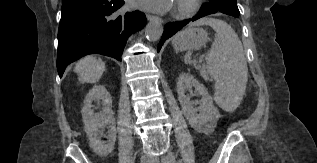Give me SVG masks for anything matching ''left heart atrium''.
<instances>
[{
    "label": "left heart atrium",
    "mask_w": 317,
    "mask_h": 163,
    "mask_svg": "<svg viewBox=\"0 0 317 163\" xmlns=\"http://www.w3.org/2000/svg\"><path fill=\"white\" fill-rule=\"evenodd\" d=\"M175 1L176 0H132L133 3L141 8L157 12L170 10Z\"/></svg>",
    "instance_id": "obj_1"
}]
</instances>
